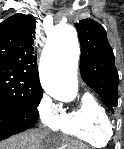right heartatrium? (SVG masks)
Segmentation results:
<instances>
[{"mask_svg":"<svg viewBox=\"0 0 124 149\" xmlns=\"http://www.w3.org/2000/svg\"><path fill=\"white\" fill-rule=\"evenodd\" d=\"M37 113L40 123L52 130L57 129L64 115L62 109L48 95L42 96Z\"/></svg>","mask_w":124,"mask_h":149,"instance_id":"1","label":"right heart atrium"}]
</instances>
